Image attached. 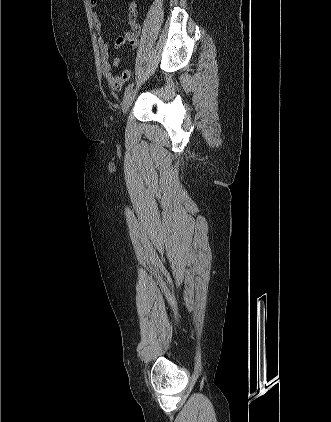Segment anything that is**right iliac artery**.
<instances>
[{
    "instance_id": "1",
    "label": "right iliac artery",
    "mask_w": 331,
    "mask_h": 422,
    "mask_svg": "<svg viewBox=\"0 0 331 422\" xmlns=\"http://www.w3.org/2000/svg\"><path fill=\"white\" fill-rule=\"evenodd\" d=\"M133 86H134V83H131V84H129V85L126 87V89H125V95H126L127 93H129V92L132 90Z\"/></svg>"
}]
</instances>
